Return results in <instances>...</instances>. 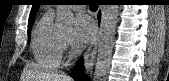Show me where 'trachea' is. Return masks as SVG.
Returning a JSON list of instances; mask_svg holds the SVG:
<instances>
[{
    "label": "trachea",
    "mask_w": 169,
    "mask_h": 81,
    "mask_svg": "<svg viewBox=\"0 0 169 81\" xmlns=\"http://www.w3.org/2000/svg\"><path fill=\"white\" fill-rule=\"evenodd\" d=\"M89 7L91 9H95L96 10L98 8V4H96L95 2H90Z\"/></svg>",
    "instance_id": "trachea-1"
}]
</instances>
